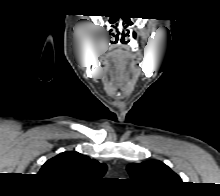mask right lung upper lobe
Wrapping results in <instances>:
<instances>
[{
  "label": "right lung upper lobe",
  "instance_id": "obj_1",
  "mask_svg": "<svg viewBox=\"0 0 220 196\" xmlns=\"http://www.w3.org/2000/svg\"><path fill=\"white\" fill-rule=\"evenodd\" d=\"M106 170V164L78 152L67 151L48 160L42 166L39 175L60 183L92 185L101 179Z\"/></svg>",
  "mask_w": 220,
  "mask_h": 196
}]
</instances>
